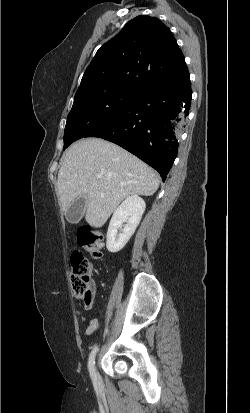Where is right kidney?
Here are the masks:
<instances>
[{
  "instance_id": "obj_1",
  "label": "right kidney",
  "mask_w": 250,
  "mask_h": 413,
  "mask_svg": "<svg viewBox=\"0 0 250 413\" xmlns=\"http://www.w3.org/2000/svg\"><path fill=\"white\" fill-rule=\"evenodd\" d=\"M145 201L138 195L127 197L114 211L107 231V249L120 251L134 234L145 211ZM126 223L124 226L123 224ZM123 226V229L121 227ZM120 229V232L118 230Z\"/></svg>"
}]
</instances>
